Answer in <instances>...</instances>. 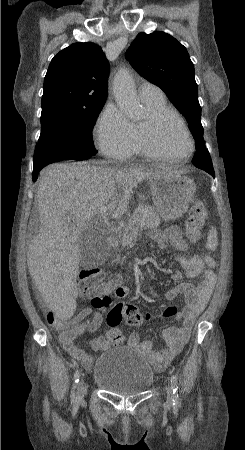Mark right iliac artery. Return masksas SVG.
I'll return each mask as SVG.
<instances>
[{
    "instance_id": "right-iliac-artery-1",
    "label": "right iliac artery",
    "mask_w": 245,
    "mask_h": 450,
    "mask_svg": "<svg viewBox=\"0 0 245 450\" xmlns=\"http://www.w3.org/2000/svg\"><path fill=\"white\" fill-rule=\"evenodd\" d=\"M79 377H80V372L79 370H76L74 373V387H73V391L71 393V402L73 403V405H77V396L75 393V388L77 387V383L79 382Z\"/></svg>"
}]
</instances>
